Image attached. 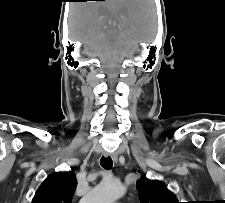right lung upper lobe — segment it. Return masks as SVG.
<instances>
[{
	"label": "right lung upper lobe",
	"instance_id": "cb5924a9",
	"mask_svg": "<svg viewBox=\"0 0 225 203\" xmlns=\"http://www.w3.org/2000/svg\"><path fill=\"white\" fill-rule=\"evenodd\" d=\"M76 186L73 172L54 173L39 187L32 203H71Z\"/></svg>",
	"mask_w": 225,
	"mask_h": 203
}]
</instances>
